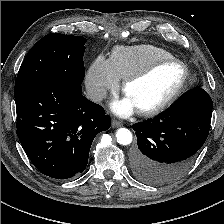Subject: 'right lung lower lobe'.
I'll list each match as a JSON object with an SVG mask.
<instances>
[{"instance_id":"right-lung-lower-lobe-1","label":"right lung lower lobe","mask_w":224,"mask_h":224,"mask_svg":"<svg viewBox=\"0 0 224 224\" xmlns=\"http://www.w3.org/2000/svg\"><path fill=\"white\" fill-rule=\"evenodd\" d=\"M15 102L19 141L32 164L52 178L83 172L93 139L110 128V117L82 95L81 85L44 83Z\"/></svg>"}]
</instances>
